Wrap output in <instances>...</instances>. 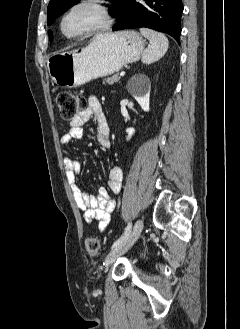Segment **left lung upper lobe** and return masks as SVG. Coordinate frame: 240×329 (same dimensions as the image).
Masks as SVG:
<instances>
[{"label":"left lung upper lobe","mask_w":240,"mask_h":329,"mask_svg":"<svg viewBox=\"0 0 240 329\" xmlns=\"http://www.w3.org/2000/svg\"><path fill=\"white\" fill-rule=\"evenodd\" d=\"M79 0H51L47 7V24L51 25L60 13L66 11L69 7ZM113 7L109 9V13L118 18L123 10L126 0H109ZM49 38L52 41L53 34L49 31Z\"/></svg>","instance_id":"5c2ea615"}]
</instances>
